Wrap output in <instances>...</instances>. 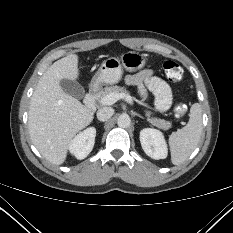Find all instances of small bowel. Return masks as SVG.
Returning a JSON list of instances; mask_svg holds the SVG:
<instances>
[{"label":"small bowel","mask_w":233,"mask_h":233,"mask_svg":"<svg viewBox=\"0 0 233 233\" xmlns=\"http://www.w3.org/2000/svg\"><path fill=\"white\" fill-rule=\"evenodd\" d=\"M125 81L128 85L138 88L142 101H145L151 92L155 96V105L160 112H166L171 107L173 94L170 86L160 77L153 75L151 70L128 75Z\"/></svg>","instance_id":"c3829d8e"}]
</instances>
